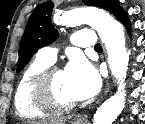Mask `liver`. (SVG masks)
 I'll use <instances>...</instances> for the list:
<instances>
[{
    "label": "liver",
    "instance_id": "obj_1",
    "mask_svg": "<svg viewBox=\"0 0 145 124\" xmlns=\"http://www.w3.org/2000/svg\"><path fill=\"white\" fill-rule=\"evenodd\" d=\"M65 121H66V118L58 117V118H54V119L42 120L39 122H35L34 124H64Z\"/></svg>",
    "mask_w": 145,
    "mask_h": 124
}]
</instances>
